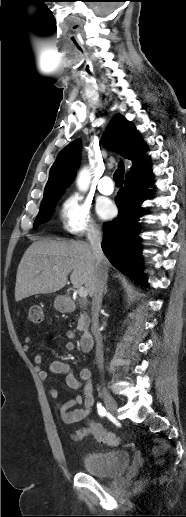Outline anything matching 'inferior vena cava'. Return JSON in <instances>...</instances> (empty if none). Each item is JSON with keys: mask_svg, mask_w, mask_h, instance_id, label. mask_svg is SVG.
Listing matches in <instances>:
<instances>
[{"mask_svg": "<svg viewBox=\"0 0 186 517\" xmlns=\"http://www.w3.org/2000/svg\"><path fill=\"white\" fill-rule=\"evenodd\" d=\"M90 245L96 260V272L93 284L92 299V327L91 331L96 340V361L100 370H103V344L102 335L99 328V311L101 308L104 287L107 282L108 274L104 266L105 256L101 248L102 234L99 227H94L89 235Z\"/></svg>", "mask_w": 186, "mask_h": 517, "instance_id": "obj_1", "label": "inferior vena cava"}]
</instances>
